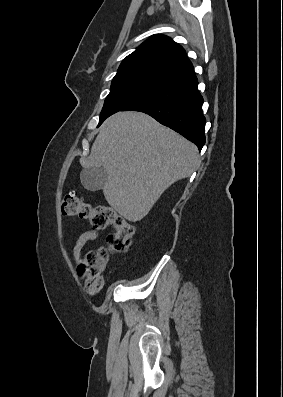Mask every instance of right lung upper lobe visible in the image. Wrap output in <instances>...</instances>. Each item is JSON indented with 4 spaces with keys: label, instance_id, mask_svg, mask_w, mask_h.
<instances>
[{
    "label": "right lung upper lobe",
    "instance_id": "right-lung-upper-lobe-1",
    "mask_svg": "<svg viewBox=\"0 0 283 397\" xmlns=\"http://www.w3.org/2000/svg\"><path fill=\"white\" fill-rule=\"evenodd\" d=\"M143 72L172 83L194 74L185 50L165 35H153L121 63L117 74Z\"/></svg>",
    "mask_w": 283,
    "mask_h": 397
}]
</instances>
